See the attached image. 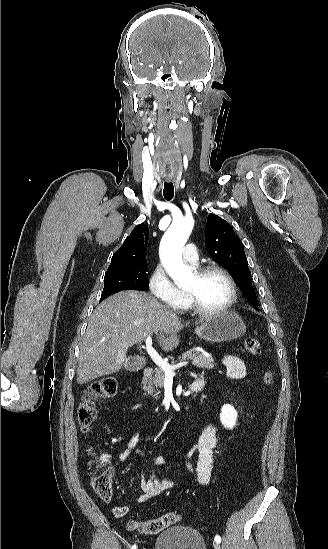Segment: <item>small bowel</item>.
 I'll list each match as a JSON object with an SVG mask.
<instances>
[{
	"label": "small bowel",
	"instance_id": "1",
	"mask_svg": "<svg viewBox=\"0 0 328 549\" xmlns=\"http://www.w3.org/2000/svg\"><path fill=\"white\" fill-rule=\"evenodd\" d=\"M223 366L226 368L227 374L233 379H243L246 376L247 370L242 359L236 356L227 355L223 358ZM139 405L133 406V410H138ZM217 428L213 424L207 425L198 436L197 440L184 453L183 467L185 471L193 476L201 485L209 483L213 470V453L216 445ZM139 440V435L135 432L125 450L118 454V459L122 462L128 460ZM196 453L197 460L195 468L189 462L191 456ZM112 456L103 454L100 457V462L106 465L111 463ZM167 462L165 456H157L152 463L156 466L163 465ZM175 487L172 481L161 478L156 472H152L148 477L142 476L140 482L141 495L137 498L138 503H144L153 497H156L164 492H167ZM129 511V507L123 506L115 509L116 515H123Z\"/></svg>",
	"mask_w": 328,
	"mask_h": 549
}]
</instances>
